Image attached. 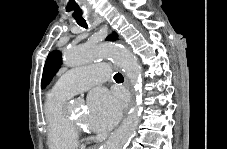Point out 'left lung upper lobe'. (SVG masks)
Returning <instances> with one entry per match:
<instances>
[{"mask_svg":"<svg viewBox=\"0 0 227 149\" xmlns=\"http://www.w3.org/2000/svg\"><path fill=\"white\" fill-rule=\"evenodd\" d=\"M116 38L112 35L108 36L106 40H115ZM61 53L58 51L51 52L45 62L44 69H43V75L41 80V88H44L47 86L57 70L59 69L61 65Z\"/></svg>","mask_w":227,"mask_h":149,"instance_id":"left-lung-upper-lobe-1","label":"left lung upper lobe"}]
</instances>
